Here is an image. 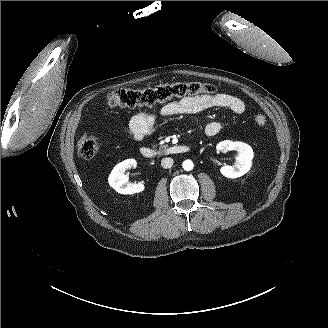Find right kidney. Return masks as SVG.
Listing matches in <instances>:
<instances>
[{
    "mask_svg": "<svg viewBox=\"0 0 328 328\" xmlns=\"http://www.w3.org/2000/svg\"><path fill=\"white\" fill-rule=\"evenodd\" d=\"M136 166L135 160L129 159L119 163L108 177V184L118 193L132 195L145 190L143 183L130 182L126 171Z\"/></svg>",
    "mask_w": 328,
    "mask_h": 328,
    "instance_id": "obj_1",
    "label": "right kidney"
}]
</instances>
